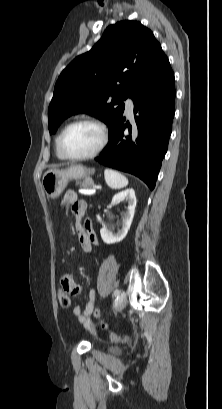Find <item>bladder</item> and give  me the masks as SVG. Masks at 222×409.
I'll return each mask as SVG.
<instances>
[{"instance_id":"31cf9c89","label":"bladder","mask_w":222,"mask_h":409,"mask_svg":"<svg viewBox=\"0 0 222 409\" xmlns=\"http://www.w3.org/2000/svg\"><path fill=\"white\" fill-rule=\"evenodd\" d=\"M121 350L118 348H110L111 354H120Z\"/></svg>"}]
</instances>
